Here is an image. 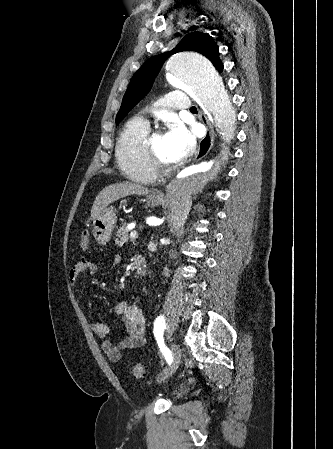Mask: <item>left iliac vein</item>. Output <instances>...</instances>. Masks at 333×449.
Masks as SVG:
<instances>
[{
	"instance_id": "4c4485c4",
	"label": "left iliac vein",
	"mask_w": 333,
	"mask_h": 449,
	"mask_svg": "<svg viewBox=\"0 0 333 449\" xmlns=\"http://www.w3.org/2000/svg\"><path fill=\"white\" fill-rule=\"evenodd\" d=\"M171 352L173 356L172 364L168 368H166L162 373H160V375L157 378L158 383H161L166 379H168L170 376H172V374L175 373L181 362L182 353L178 344L172 343Z\"/></svg>"
}]
</instances>
